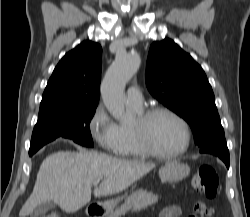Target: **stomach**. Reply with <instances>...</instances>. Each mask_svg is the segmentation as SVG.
Wrapping results in <instances>:
<instances>
[{"instance_id": "0dacf381", "label": "stomach", "mask_w": 250, "mask_h": 217, "mask_svg": "<svg viewBox=\"0 0 250 217\" xmlns=\"http://www.w3.org/2000/svg\"><path fill=\"white\" fill-rule=\"evenodd\" d=\"M190 173L187 164L179 161L167 162L159 171V177L163 182H179L186 178ZM124 196L106 202V211L111 212Z\"/></svg>"}]
</instances>
